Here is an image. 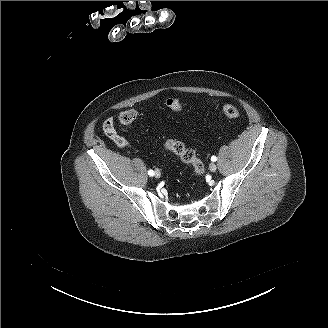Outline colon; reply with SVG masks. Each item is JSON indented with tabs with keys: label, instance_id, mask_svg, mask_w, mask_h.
<instances>
[{
	"label": "colon",
	"instance_id": "1",
	"mask_svg": "<svg viewBox=\"0 0 328 328\" xmlns=\"http://www.w3.org/2000/svg\"><path fill=\"white\" fill-rule=\"evenodd\" d=\"M166 105L179 112L182 109L180 101L176 98H169L166 100ZM223 114L230 119H235L239 116V110L232 104H226L222 107ZM138 117V111L136 109H127L120 113L118 121L122 129H126L133 121ZM108 134L110 136L116 135L115 130L108 128ZM164 147L177 155L183 162L193 166L195 173L200 176L204 173V165L201 160L196 156L195 152L186 147L181 141L176 139H169L164 142Z\"/></svg>",
	"mask_w": 328,
	"mask_h": 328
}]
</instances>
